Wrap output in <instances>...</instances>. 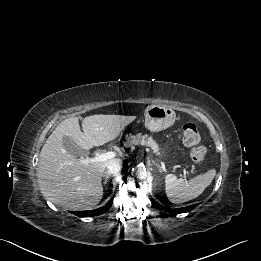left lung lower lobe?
I'll return each mask as SVG.
<instances>
[{
    "label": "left lung lower lobe",
    "instance_id": "0a47b994",
    "mask_svg": "<svg viewBox=\"0 0 261 261\" xmlns=\"http://www.w3.org/2000/svg\"><path fill=\"white\" fill-rule=\"evenodd\" d=\"M151 202L153 203V205L157 206L158 208L167 210L168 212H170L172 214H180V213L189 212V211H191L192 209H194L197 206V204H194V205H191V206H188V207H183V208L167 209V208L161 206L160 204L156 203L153 200H151Z\"/></svg>",
    "mask_w": 261,
    "mask_h": 261
}]
</instances>
